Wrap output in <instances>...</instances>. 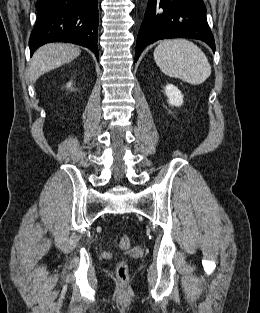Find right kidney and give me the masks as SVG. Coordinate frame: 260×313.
<instances>
[{
  "instance_id": "ca27d5eb",
  "label": "right kidney",
  "mask_w": 260,
  "mask_h": 313,
  "mask_svg": "<svg viewBox=\"0 0 260 313\" xmlns=\"http://www.w3.org/2000/svg\"><path fill=\"white\" fill-rule=\"evenodd\" d=\"M68 87H71V83H68Z\"/></svg>"
}]
</instances>
